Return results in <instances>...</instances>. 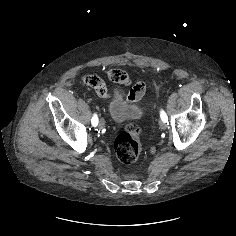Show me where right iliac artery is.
Wrapping results in <instances>:
<instances>
[{
	"instance_id": "right-iliac-artery-1",
	"label": "right iliac artery",
	"mask_w": 236,
	"mask_h": 236,
	"mask_svg": "<svg viewBox=\"0 0 236 236\" xmlns=\"http://www.w3.org/2000/svg\"><path fill=\"white\" fill-rule=\"evenodd\" d=\"M91 123L93 126H97L98 125V117L96 114L93 115Z\"/></svg>"
}]
</instances>
